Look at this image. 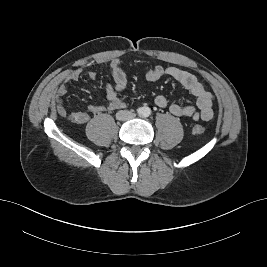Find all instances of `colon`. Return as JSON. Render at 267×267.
<instances>
[{
	"mask_svg": "<svg viewBox=\"0 0 267 267\" xmlns=\"http://www.w3.org/2000/svg\"><path fill=\"white\" fill-rule=\"evenodd\" d=\"M204 131H205V128L203 126H201V125H195L193 127V132L195 134H202V133H204Z\"/></svg>",
	"mask_w": 267,
	"mask_h": 267,
	"instance_id": "obj_1",
	"label": "colon"
}]
</instances>
